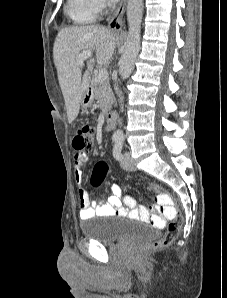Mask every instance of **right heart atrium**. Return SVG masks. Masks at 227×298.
<instances>
[{"label":"right heart atrium","instance_id":"1","mask_svg":"<svg viewBox=\"0 0 227 298\" xmlns=\"http://www.w3.org/2000/svg\"><path fill=\"white\" fill-rule=\"evenodd\" d=\"M93 15L100 14L107 6V0H78Z\"/></svg>","mask_w":227,"mask_h":298}]
</instances>
